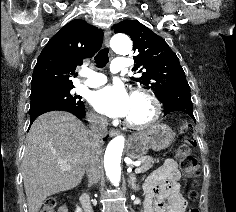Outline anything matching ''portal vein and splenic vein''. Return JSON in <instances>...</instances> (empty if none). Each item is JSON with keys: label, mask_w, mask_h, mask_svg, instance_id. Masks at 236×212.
Here are the masks:
<instances>
[{"label": "portal vein and splenic vein", "mask_w": 236, "mask_h": 212, "mask_svg": "<svg viewBox=\"0 0 236 212\" xmlns=\"http://www.w3.org/2000/svg\"><path fill=\"white\" fill-rule=\"evenodd\" d=\"M137 167L135 168V173H141V168L139 167L140 166V163L138 164H135ZM61 169L63 171H67V170H72V167L70 165H61Z\"/></svg>", "instance_id": "portal-vein-and-splenic-vein-1"}]
</instances>
